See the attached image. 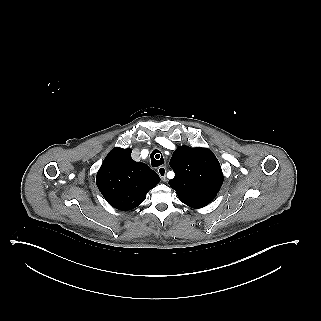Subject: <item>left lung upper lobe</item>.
Listing matches in <instances>:
<instances>
[{"label": "left lung upper lobe", "mask_w": 321, "mask_h": 321, "mask_svg": "<svg viewBox=\"0 0 321 321\" xmlns=\"http://www.w3.org/2000/svg\"><path fill=\"white\" fill-rule=\"evenodd\" d=\"M170 166L175 177L169 181V185L180 200L216 196L222 186L221 166L209 149L179 146L173 153Z\"/></svg>", "instance_id": "1"}]
</instances>
